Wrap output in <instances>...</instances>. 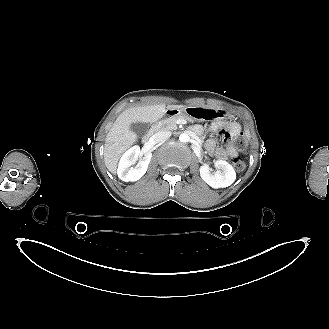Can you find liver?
I'll list each match as a JSON object with an SVG mask.
<instances>
[{"mask_svg": "<svg viewBox=\"0 0 329 329\" xmlns=\"http://www.w3.org/2000/svg\"><path fill=\"white\" fill-rule=\"evenodd\" d=\"M165 104L131 107L124 110L113 123L106 135L104 162L107 169L116 174L121 154L137 140V135L131 131L132 123H153L166 114ZM185 108L183 105H167V109Z\"/></svg>", "mask_w": 329, "mask_h": 329, "instance_id": "liver-1", "label": "liver"}]
</instances>
